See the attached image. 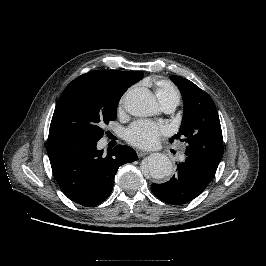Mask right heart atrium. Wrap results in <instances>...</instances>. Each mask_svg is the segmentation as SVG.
I'll list each match as a JSON object with an SVG mask.
<instances>
[{"label":"right heart atrium","mask_w":266,"mask_h":266,"mask_svg":"<svg viewBox=\"0 0 266 266\" xmlns=\"http://www.w3.org/2000/svg\"><path fill=\"white\" fill-rule=\"evenodd\" d=\"M124 101H125V96H123L120 101H119V110H121L123 108L124 105Z\"/></svg>","instance_id":"right-heart-atrium-1"}]
</instances>
